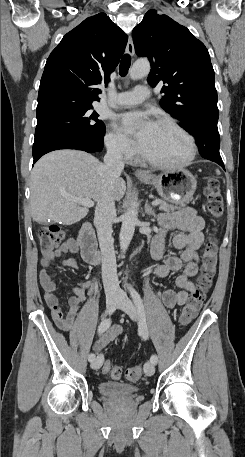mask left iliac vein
<instances>
[{"instance_id":"4c4485c4","label":"left iliac vein","mask_w":245,"mask_h":457,"mask_svg":"<svg viewBox=\"0 0 245 457\" xmlns=\"http://www.w3.org/2000/svg\"><path fill=\"white\" fill-rule=\"evenodd\" d=\"M117 308L126 312L132 320L138 321L137 310L134 307L133 302L129 299V297L125 293H122L119 296V302H118ZM144 372H145V375L152 376L155 373L154 364L149 361L146 362L144 365Z\"/></svg>"}]
</instances>
